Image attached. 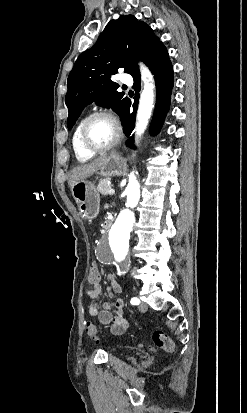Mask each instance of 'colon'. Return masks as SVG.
Wrapping results in <instances>:
<instances>
[{"mask_svg":"<svg viewBox=\"0 0 247 413\" xmlns=\"http://www.w3.org/2000/svg\"><path fill=\"white\" fill-rule=\"evenodd\" d=\"M99 282H101V275L96 274V265L90 264L88 266V285L96 286ZM85 334L95 341L98 340L97 328L92 321H86ZM152 341L156 343L157 347H161L166 355H177L178 348L175 346V343L169 339V335L165 331L154 330L152 333Z\"/></svg>","mask_w":247,"mask_h":413,"instance_id":"obj_1","label":"colon"}]
</instances>
